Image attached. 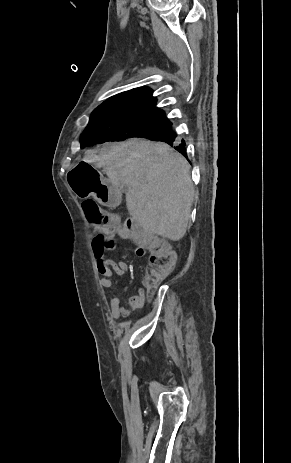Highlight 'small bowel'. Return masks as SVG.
<instances>
[{"mask_svg":"<svg viewBox=\"0 0 291 463\" xmlns=\"http://www.w3.org/2000/svg\"><path fill=\"white\" fill-rule=\"evenodd\" d=\"M91 248L96 261L97 271L100 275V286L108 290H113L114 284L112 278L114 276H123L128 270V265L125 261L105 258L106 250L114 251L117 249L113 236L108 234L94 236L91 240ZM134 252L137 256H143L145 253L138 246L135 247ZM144 304L145 295L142 289L129 299L126 306L122 304L119 297L113 296L110 300V313L112 318L119 319L143 307Z\"/></svg>","mask_w":291,"mask_h":463,"instance_id":"small-bowel-1","label":"small bowel"}]
</instances>
